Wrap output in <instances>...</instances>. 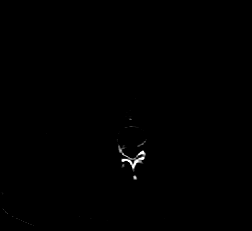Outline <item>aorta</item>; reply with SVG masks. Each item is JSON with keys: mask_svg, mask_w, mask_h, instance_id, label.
Here are the masks:
<instances>
[{"mask_svg": "<svg viewBox=\"0 0 252 231\" xmlns=\"http://www.w3.org/2000/svg\"><path fill=\"white\" fill-rule=\"evenodd\" d=\"M134 116V112L131 109H127L124 111V117L126 119H131Z\"/></svg>", "mask_w": 252, "mask_h": 231, "instance_id": "obj_1", "label": "aorta"}]
</instances>
